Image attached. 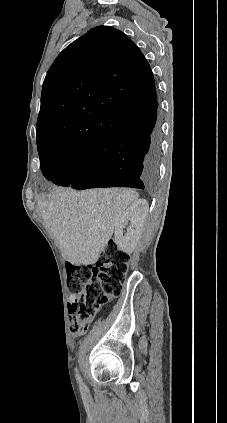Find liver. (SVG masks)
Wrapping results in <instances>:
<instances>
[{
    "label": "liver",
    "instance_id": "liver-1",
    "mask_svg": "<svg viewBox=\"0 0 227 423\" xmlns=\"http://www.w3.org/2000/svg\"><path fill=\"white\" fill-rule=\"evenodd\" d=\"M134 190L97 188L75 192L54 188L53 194L39 200L38 210L61 253L74 265L96 263L104 251L121 215L138 200Z\"/></svg>",
    "mask_w": 227,
    "mask_h": 423
}]
</instances>
